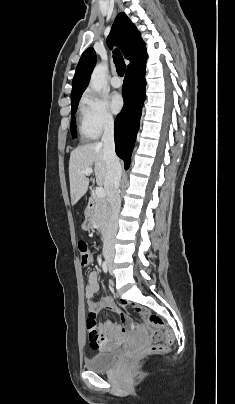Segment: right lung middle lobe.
<instances>
[{
	"instance_id": "right-lung-middle-lobe-1",
	"label": "right lung middle lobe",
	"mask_w": 235,
	"mask_h": 404,
	"mask_svg": "<svg viewBox=\"0 0 235 404\" xmlns=\"http://www.w3.org/2000/svg\"><path fill=\"white\" fill-rule=\"evenodd\" d=\"M71 105H72V116H73V115L75 114L76 110H77L78 101L71 102ZM75 126H76V122H75V118H73V119L71 120V132H72L73 137L76 136V134L74 133V128H75Z\"/></svg>"
}]
</instances>
